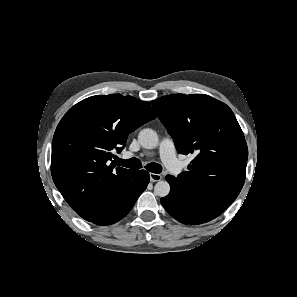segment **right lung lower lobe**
I'll list each match as a JSON object with an SVG mask.
<instances>
[{
  "mask_svg": "<svg viewBox=\"0 0 297 297\" xmlns=\"http://www.w3.org/2000/svg\"><path fill=\"white\" fill-rule=\"evenodd\" d=\"M149 183V173L133 170L130 177L113 193L99 211L87 219L94 224L110 225L125 217Z\"/></svg>",
  "mask_w": 297,
  "mask_h": 297,
  "instance_id": "obj_1",
  "label": "right lung lower lobe"
}]
</instances>
